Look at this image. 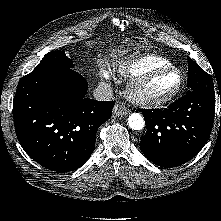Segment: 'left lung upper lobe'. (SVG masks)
<instances>
[{
  "label": "left lung upper lobe",
  "instance_id": "obj_1",
  "mask_svg": "<svg viewBox=\"0 0 221 221\" xmlns=\"http://www.w3.org/2000/svg\"><path fill=\"white\" fill-rule=\"evenodd\" d=\"M188 59V85L190 91L200 90L215 96L213 80L211 76L201 69L191 58Z\"/></svg>",
  "mask_w": 221,
  "mask_h": 221
}]
</instances>
